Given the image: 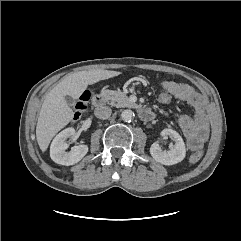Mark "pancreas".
Returning <instances> with one entry per match:
<instances>
[{
    "mask_svg": "<svg viewBox=\"0 0 241 241\" xmlns=\"http://www.w3.org/2000/svg\"><path fill=\"white\" fill-rule=\"evenodd\" d=\"M101 96L111 106L116 107H129L131 102L128 96L121 91L103 90Z\"/></svg>",
    "mask_w": 241,
    "mask_h": 241,
    "instance_id": "obj_1",
    "label": "pancreas"
}]
</instances>
